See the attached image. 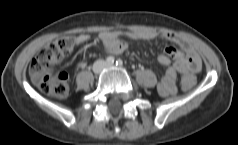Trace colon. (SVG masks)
Returning <instances> with one entry per match:
<instances>
[{
    "label": "colon",
    "mask_w": 238,
    "mask_h": 145,
    "mask_svg": "<svg viewBox=\"0 0 238 145\" xmlns=\"http://www.w3.org/2000/svg\"><path fill=\"white\" fill-rule=\"evenodd\" d=\"M74 46L72 37H61L47 44L32 60L29 70L34 83L45 93L63 98L69 92V79L65 72H53L51 67L59 63ZM194 79L184 78L182 86L189 89Z\"/></svg>",
    "instance_id": "colon-1"
}]
</instances>
